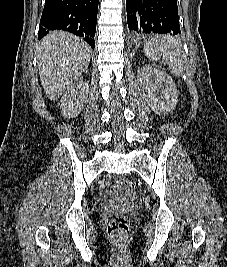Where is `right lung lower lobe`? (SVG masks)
I'll return each mask as SVG.
<instances>
[{"mask_svg": "<svg viewBox=\"0 0 227 267\" xmlns=\"http://www.w3.org/2000/svg\"><path fill=\"white\" fill-rule=\"evenodd\" d=\"M98 3L99 0H46L38 39L50 30H65L82 37L94 48Z\"/></svg>", "mask_w": 227, "mask_h": 267, "instance_id": "right-lung-lower-lobe-1", "label": "right lung lower lobe"}]
</instances>
